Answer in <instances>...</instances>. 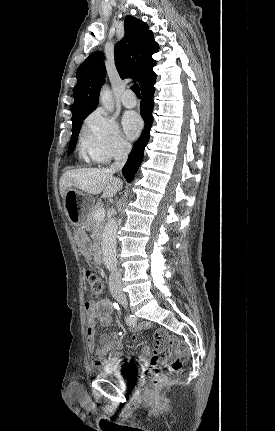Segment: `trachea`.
<instances>
[{
  "label": "trachea",
  "mask_w": 275,
  "mask_h": 431,
  "mask_svg": "<svg viewBox=\"0 0 275 431\" xmlns=\"http://www.w3.org/2000/svg\"><path fill=\"white\" fill-rule=\"evenodd\" d=\"M132 91L136 94V96H141L139 85L137 83L131 86Z\"/></svg>",
  "instance_id": "1"
}]
</instances>
